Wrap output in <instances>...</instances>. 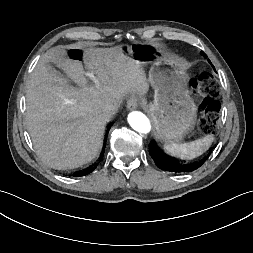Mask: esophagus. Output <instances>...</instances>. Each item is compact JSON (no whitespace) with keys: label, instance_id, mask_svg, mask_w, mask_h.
Here are the masks:
<instances>
[{"label":"esophagus","instance_id":"obj_1","mask_svg":"<svg viewBox=\"0 0 253 253\" xmlns=\"http://www.w3.org/2000/svg\"><path fill=\"white\" fill-rule=\"evenodd\" d=\"M138 105H139V99L135 95H132L127 101L128 110H131V111L135 110L137 109Z\"/></svg>","mask_w":253,"mask_h":253}]
</instances>
